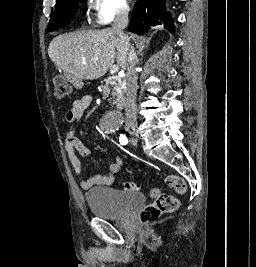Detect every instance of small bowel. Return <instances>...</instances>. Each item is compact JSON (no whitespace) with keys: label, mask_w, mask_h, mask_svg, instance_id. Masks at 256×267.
I'll use <instances>...</instances> for the list:
<instances>
[{"label":"small bowel","mask_w":256,"mask_h":267,"mask_svg":"<svg viewBox=\"0 0 256 267\" xmlns=\"http://www.w3.org/2000/svg\"><path fill=\"white\" fill-rule=\"evenodd\" d=\"M92 98L90 95H83L72 103L71 109L66 113V121L74 122L82 118L87 108L90 106ZM65 150L73 171L77 175L83 173V166L79 155L84 157L90 156V150L84 145L82 140L77 136L76 129L71 128L64 141ZM123 161L121 158L111 163L106 174H97L94 177L83 179L80 186L84 190H89L95 186H110L113 184L117 173L121 170Z\"/></svg>","instance_id":"c3829d8e"}]
</instances>
